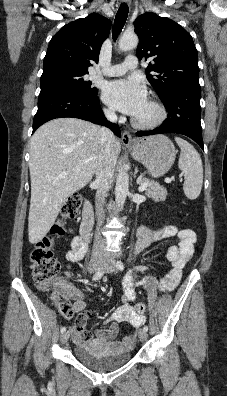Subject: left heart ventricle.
<instances>
[{
    "label": "left heart ventricle",
    "mask_w": 227,
    "mask_h": 396,
    "mask_svg": "<svg viewBox=\"0 0 227 396\" xmlns=\"http://www.w3.org/2000/svg\"><path fill=\"white\" fill-rule=\"evenodd\" d=\"M156 116V110L147 102L144 108L135 116L136 119L141 121H149Z\"/></svg>",
    "instance_id": "b2bd125f"
}]
</instances>
